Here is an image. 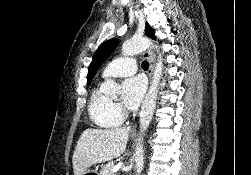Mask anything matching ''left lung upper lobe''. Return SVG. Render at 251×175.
I'll return each mask as SVG.
<instances>
[{
    "instance_id": "5c2ea615",
    "label": "left lung upper lobe",
    "mask_w": 251,
    "mask_h": 175,
    "mask_svg": "<svg viewBox=\"0 0 251 175\" xmlns=\"http://www.w3.org/2000/svg\"><path fill=\"white\" fill-rule=\"evenodd\" d=\"M146 35L152 39H155L154 36V31L153 29L149 26V24H146ZM118 40L117 39H111L108 40L104 43H102L97 51L95 52L93 56V60L91 64L89 65V72L87 76V84L91 82L93 77L95 76L96 72L98 69L101 67L102 63L105 62V60L111 55V53L115 50V48L118 45Z\"/></svg>"
}]
</instances>
